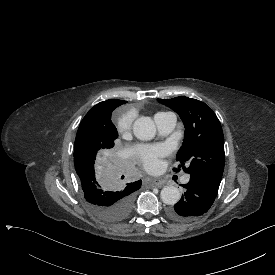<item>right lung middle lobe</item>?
<instances>
[{"label": "right lung middle lobe", "mask_w": 275, "mask_h": 275, "mask_svg": "<svg viewBox=\"0 0 275 275\" xmlns=\"http://www.w3.org/2000/svg\"><path fill=\"white\" fill-rule=\"evenodd\" d=\"M74 164L81 193L97 215L109 221L124 219L141 184H127L129 164L111 116L83 119L74 144Z\"/></svg>", "instance_id": "right-lung-middle-lobe-1"}]
</instances>
